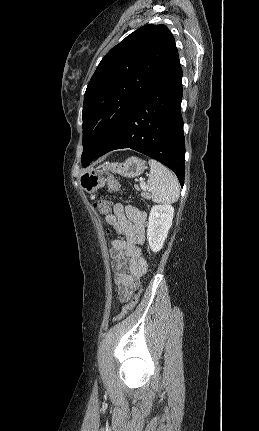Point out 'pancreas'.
Returning <instances> with one entry per match:
<instances>
[{
    "label": "pancreas",
    "instance_id": "cf45deb5",
    "mask_svg": "<svg viewBox=\"0 0 259 431\" xmlns=\"http://www.w3.org/2000/svg\"><path fill=\"white\" fill-rule=\"evenodd\" d=\"M134 187H135V189L136 190H140V188L142 189V193H141V196L142 197H144V198H146V199H150V195H149V193L147 192V190H146V188H142V186L140 185V187L138 186V185H134Z\"/></svg>",
    "mask_w": 259,
    "mask_h": 431
}]
</instances>
